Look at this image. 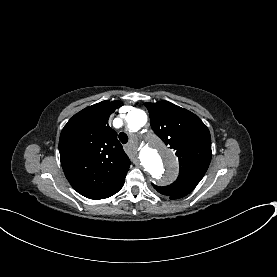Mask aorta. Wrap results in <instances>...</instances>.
<instances>
[{
    "mask_svg": "<svg viewBox=\"0 0 277 277\" xmlns=\"http://www.w3.org/2000/svg\"><path fill=\"white\" fill-rule=\"evenodd\" d=\"M126 121L131 131H137L146 124L147 115L143 110L135 109L127 114ZM139 159L143 168L160 182L172 179L178 169L175 154L155 134H148L141 142Z\"/></svg>",
    "mask_w": 277,
    "mask_h": 277,
    "instance_id": "aorta-1",
    "label": "aorta"
}]
</instances>
